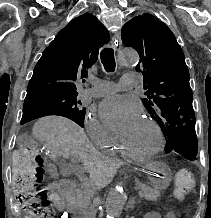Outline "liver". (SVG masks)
Returning <instances> with one entry per match:
<instances>
[{
    "instance_id": "liver-1",
    "label": "liver",
    "mask_w": 211,
    "mask_h": 218,
    "mask_svg": "<svg viewBox=\"0 0 211 218\" xmlns=\"http://www.w3.org/2000/svg\"><path fill=\"white\" fill-rule=\"evenodd\" d=\"M32 134L37 140L45 142L52 158L64 156L83 162L92 182H97L101 186L110 184L117 168L121 166L93 150L83 128L67 118L60 116L40 118L34 124Z\"/></svg>"
}]
</instances>
